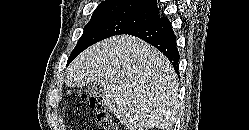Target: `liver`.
<instances>
[{"label":"liver","mask_w":249,"mask_h":130,"mask_svg":"<svg viewBox=\"0 0 249 130\" xmlns=\"http://www.w3.org/2000/svg\"><path fill=\"white\" fill-rule=\"evenodd\" d=\"M65 83L103 87V102L127 130H173L179 110V84L170 61L139 38L105 39L78 55Z\"/></svg>","instance_id":"obj_1"}]
</instances>
